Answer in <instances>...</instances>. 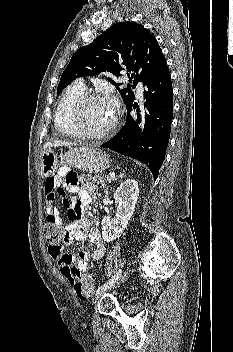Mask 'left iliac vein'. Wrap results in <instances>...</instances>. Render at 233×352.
Here are the masks:
<instances>
[{
  "label": "left iliac vein",
  "mask_w": 233,
  "mask_h": 352,
  "mask_svg": "<svg viewBox=\"0 0 233 352\" xmlns=\"http://www.w3.org/2000/svg\"><path fill=\"white\" fill-rule=\"evenodd\" d=\"M128 274H129V272L126 271L124 274H122V275L118 278V280H117L112 286H110V287L108 288V290L106 289V290H104V291H101V292L96 293L95 297L93 298L92 303H93V304H97V303L99 302V300L102 298L103 294H104L106 291H109V290H112V289H114V288L119 287V285L127 278Z\"/></svg>",
  "instance_id": "left-iliac-vein-1"
}]
</instances>
